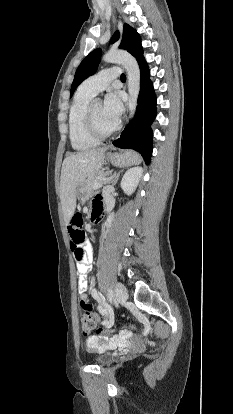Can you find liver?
I'll use <instances>...</instances> for the list:
<instances>
[{
    "instance_id": "obj_1",
    "label": "liver",
    "mask_w": 233,
    "mask_h": 414,
    "mask_svg": "<svg viewBox=\"0 0 233 414\" xmlns=\"http://www.w3.org/2000/svg\"><path fill=\"white\" fill-rule=\"evenodd\" d=\"M107 147L94 148L66 157L62 164L60 178V199L66 224L71 220L76 208L78 186L104 163Z\"/></svg>"
}]
</instances>
